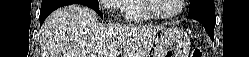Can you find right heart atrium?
<instances>
[{
  "label": "right heart atrium",
  "instance_id": "obj_1",
  "mask_svg": "<svg viewBox=\"0 0 249 57\" xmlns=\"http://www.w3.org/2000/svg\"><path fill=\"white\" fill-rule=\"evenodd\" d=\"M125 0H103L101 3L107 8L115 11L120 12L123 11V3Z\"/></svg>",
  "mask_w": 249,
  "mask_h": 57
}]
</instances>
